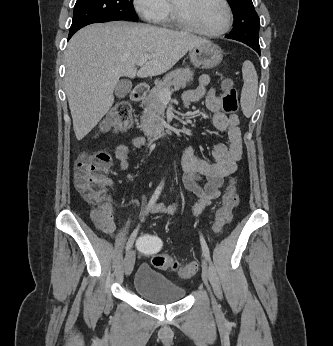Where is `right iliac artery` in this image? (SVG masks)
Returning a JSON list of instances; mask_svg holds the SVG:
<instances>
[{
  "instance_id": "1",
  "label": "right iliac artery",
  "mask_w": 333,
  "mask_h": 346,
  "mask_svg": "<svg viewBox=\"0 0 333 346\" xmlns=\"http://www.w3.org/2000/svg\"><path fill=\"white\" fill-rule=\"evenodd\" d=\"M163 185H164V181H162V182L159 184V186L156 188L154 194L152 195V197H151V199H150V201H149V203H148V205H147V208H146V211H145L146 214L148 213L150 207H151V206L156 202V200L158 199V197H159V195H160V193H161V191H162ZM138 228H139V227H137V229H135V230L133 231V233L131 234V236H130L128 242H127V245H126V252L129 251L130 248L133 246V243H134L135 238H136V236H137Z\"/></svg>"
}]
</instances>
